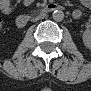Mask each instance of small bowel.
Instances as JSON below:
<instances>
[{
	"label": "small bowel",
	"mask_w": 91,
	"mask_h": 91,
	"mask_svg": "<svg viewBox=\"0 0 91 91\" xmlns=\"http://www.w3.org/2000/svg\"><path fill=\"white\" fill-rule=\"evenodd\" d=\"M1 9L4 13H9L10 12V9H9V3L8 1H3L1 3Z\"/></svg>",
	"instance_id": "c3829d8e"
}]
</instances>
